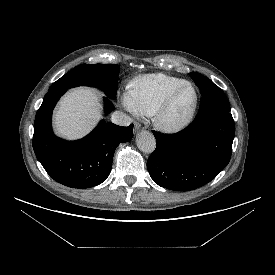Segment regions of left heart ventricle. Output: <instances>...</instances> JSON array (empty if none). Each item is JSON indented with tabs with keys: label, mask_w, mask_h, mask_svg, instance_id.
I'll use <instances>...</instances> for the list:
<instances>
[{
	"label": "left heart ventricle",
	"mask_w": 275,
	"mask_h": 275,
	"mask_svg": "<svg viewBox=\"0 0 275 275\" xmlns=\"http://www.w3.org/2000/svg\"><path fill=\"white\" fill-rule=\"evenodd\" d=\"M193 100V92L189 88H184L176 97L173 106L169 112V118L172 120L183 117L188 111Z\"/></svg>",
	"instance_id": "obj_1"
}]
</instances>
